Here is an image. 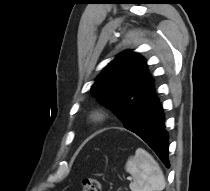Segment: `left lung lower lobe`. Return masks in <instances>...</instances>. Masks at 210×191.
I'll return each mask as SVG.
<instances>
[{
	"mask_svg": "<svg viewBox=\"0 0 210 191\" xmlns=\"http://www.w3.org/2000/svg\"><path fill=\"white\" fill-rule=\"evenodd\" d=\"M127 118L131 121L130 131L140 136L169 168L168 132L165 129V119L162 104L159 101L155 87L139 103L133 107Z\"/></svg>",
	"mask_w": 210,
	"mask_h": 191,
	"instance_id": "left-lung-lower-lobe-1",
	"label": "left lung lower lobe"
}]
</instances>
